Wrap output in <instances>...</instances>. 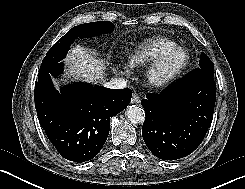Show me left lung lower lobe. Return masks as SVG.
I'll use <instances>...</instances> for the list:
<instances>
[{
  "label": "left lung lower lobe",
  "mask_w": 245,
  "mask_h": 189,
  "mask_svg": "<svg viewBox=\"0 0 245 189\" xmlns=\"http://www.w3.org/2000/svg\"><path fill=\"white\" fill-rule=\"evenodd\" d=\"M214 75L197 68L160 93L141 101L146 118L142 136L148 149L163 160L192 153L202 142L213 118Z\"/></svg>",
  "instance_id": "obj_1"
}]
</instances>
